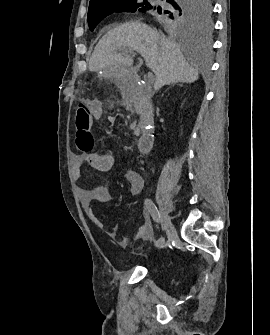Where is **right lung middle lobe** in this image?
<instances>
[{
    "label": "right lung middle lobe",
    "mask_w": 270,
    "mask_h": 335,
    "mask_svg": "<svg viewBox=\"0 0 270 335\" xmlns=\"http://www.w3.org/2000/svg\"><path fill=\"white\" fill-rule=\"evenodd\" d=\"M167 1V0H166ZM211 0H168L158 8L148 0H116L97 7H89L88 24L90 30L113 12L153 11L152 17L171 29H188L208 26L211 13ZM157 12L161 14L158 17Z\"/></svg>",
    "instance_id": "obj_1"
}]
</instances>
